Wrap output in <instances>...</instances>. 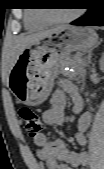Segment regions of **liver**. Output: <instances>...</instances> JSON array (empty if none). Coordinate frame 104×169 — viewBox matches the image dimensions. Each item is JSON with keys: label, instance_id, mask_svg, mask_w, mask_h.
I'll return each mask as SVG.
<instances>
[{"label": "liver", "instance_id": "obj_1", "mask_svg": "<svg viewBox=\"0 0 104 169\" xmlns=\"http://www.w3.org/2000/svg\"><path fill=\"white\" fill-rule=\"evenodd\" d=\"M67 26H58L52 29H47L44 31H39L32 34H22L18 36L15 40V44L13 47L12 55H11V65L13 66L17 61L19 55L24 51L26 48L32 46L33 44L38 43L46 36L51 35L59 30L66 28Z\"/></svg>", "mask_w": 104, "mask_h": 169}]
</instances>
